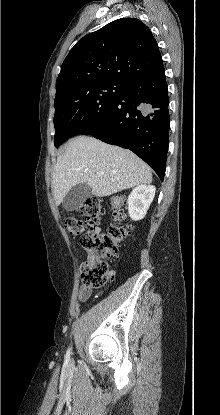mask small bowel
Listing matches in <instances>:
<instances>
[{
  "instance_id": "1",
  "label": "small bowel",
  "mask_w": 220,
  "mask_h": 415,
  "mask_svg": "<svg viewBox=\"0 0 220 415\" xmlns=\"http://www.w3.org/2000/svg\"><path fill=\"white\" fill-rule=\"evenodd\" d=\"M91 295H92V289L90 287H87V286H82L79 289L78 299L81 302H85L90 298Z\"/></svg>"
}]
</instances>
